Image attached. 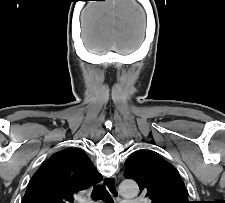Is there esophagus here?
<instances>
[{"mask_svg": "<svg viewBox=\"0 0 225 203\" xmlns=\"http://www.w3.org/2000/svg\"><path fill=\"white\" fill-rule=\"evenodd\" d=\"M117 178L115 176L109 177L106 181V187L110 191L113 196L119 197V193L117 190Z\"/></svg>", "mask_w": 225, "mask_h": 203, "instance_id": "34e87169", "label": "esophagus"}]
</instances>
